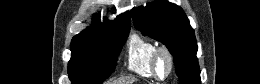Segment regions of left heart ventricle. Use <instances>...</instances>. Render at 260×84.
<instances>
[{
	"label": "left heart ventricle",
	"instance_id": "obj_1",
	"mask_svg": "<svg viewBox=\"0 0 260 84\" xmlns=\"http://www.w3.org/2000/svg\"><path fill=\"white\" fill-rule=\"evenodd\" d=\"M167 70V63L165 59H162L160 61V65H159V74L163 75Z\"/></svg>",
	"mask_w": 260,
	"mask_h": 84
}]
</instances>
